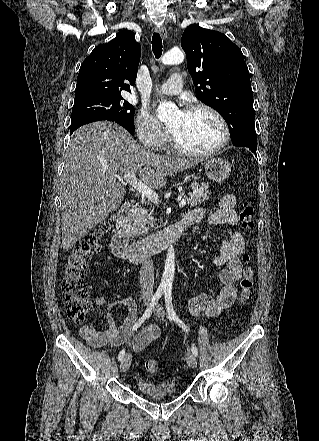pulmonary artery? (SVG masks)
<instances>
[{
  "mask_svg": "<svg viewBox=\"0 0 319 441\" xmlns=\"http://www.w3.org/2000/svg\"><path fill=\"white\" fill-rule=\"evenodd\" d=\"M183 87V79L180 74H173L167 81L156 87L161 93L174 95L179 93Z\"/></svg>",
  "mask_w": 319,
  "mask_h": 441,
  "instance_id": "pulmonary-artery-1",
  "label": "pulmonary artery"
}]
</instances>
